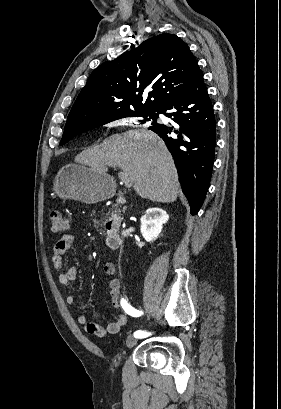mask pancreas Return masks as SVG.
Masks as SVG:
<instances>
[{
    "mask_svg": "<svg viewBox=\"0 0 281 409\" xmlns=\"http://www.w3.org/2000/svg\"><path fill=\"white\" fill-rule=\"evenodd\" d=\"M120 213H121L120 209H116L115 215H120Z\"/></svg>",
    "mask_w": 281,
    "mask_h": 409,
    "instance_id": "cf45deb5",
    "label": "pancreas"
}]
</instances>
